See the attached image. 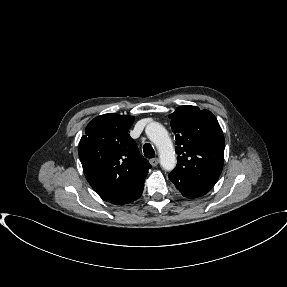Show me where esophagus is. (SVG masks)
Segmentation results:
<instances>
[{"label": "esophagus", "mask_w": 287, "mask_h": 287, "mask_svg": "<svg viewBox=\"0 0 287 287\" xmlns=\"http://www.w3.org/2000/svg\"><path fill=\"white\" fill-rule=\"evenodd\" d=\"M158 163H159V159H158V158H153V159L150 160V164H151L153 167L157 166Z\"/></svg>", "instance_id": "1"}]
</instances>
